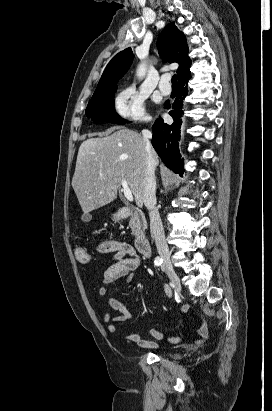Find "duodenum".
I'll return each instance as SVG.
<instances>
[{
	"mask_svg": "<svg viewBox=\"0 0 272 411\" xmlns=\"http://www.w3.org/2000/svg\"><path fill=\"white\" fill-rule=\"evenodd\" d=\"M116 213L119 219H125L131 215L132 209L130 207H120L117 209ZM134 246L142 255L146 257L150 255V246L145 234L141 233L135 236Z\"/></svg>",
	"mask_w": 272,
	"mask_h": 411,
	"instance_id": "duodenum-1",
	"label": "duodenum"
}]
</instances>
